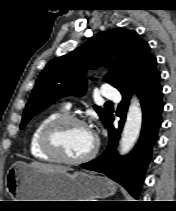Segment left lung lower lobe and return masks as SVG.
<instances>
[{
	"instance_id": "1",
	"label": "left lung lower lobe",
	"mask_w": 176,
	"mask_h": 211,
	"mask_svg": "<svg viewBox=\"0 0 176 211\" xmlns=\"http://www.w3.org/2000/svg\"><path fill=\"white\" fill-rule=\"evenodd\" d=\"M134 92L137 93L142 105L141 136L133 151L128 156L121 157L118 155L116 147L126 118L129 100ZM122 95L123 98L117 110V116L121 118L119 127L114 128L113 115L106 123L110 138L108 147L98 158L82 164L81 167L106 174L125 187L134 198H138L144 174L151 159L152 145L157 140V131L161 125L163 101L160 74L135 90Z\"/></svg>"
}]
</instances>
